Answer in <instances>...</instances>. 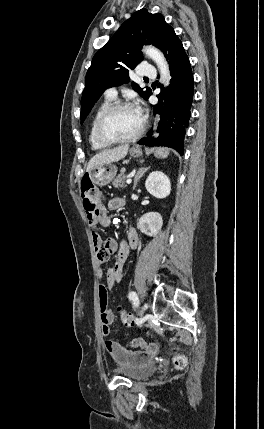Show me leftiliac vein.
Instances as JSON below:
<instances>
[{"label":"left iliac vein","mask_w":264,"mask_h":429,"mask_svg":"<svg viewBox=\"0 0 264 429\" xmlns=\"http://www.w3.org/2000/svg\"><path fill=\"white\" fill-rule=\"evenodd\" d=\"M139 313H140V316H141V317H144V316H145L144 309H140V312H139Z\"/></svg>","instance_id":"left-iliac-vein-1"}]
</instances>
